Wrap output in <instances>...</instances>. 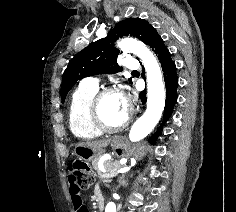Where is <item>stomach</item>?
<instances>
[{
  "mask_svg": "<svg viewBox=\"0 0 236 212\" xmlns=\"http://www.w3.org/2000/svg\"><path fill=\"white\" fill-rule=\"evenodd\" d=\"M111 146L114 152L121 157L130 155L141 157L144 151L142 146H130L124 141L122 137L119 136L112 138ZM73 154L81 160L91 162L99 158L103 154V151H94L87 146L77 145L73 151Z\"/></svg>",
  "mask_w": 236,
  "mask_h": 212,
  "instance_id": "stomach-1",
  "label": "stomach"
}]
</instances>
